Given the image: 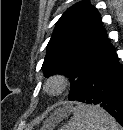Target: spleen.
Here are the masks:
<instances>
[{
	"instance_id": "1",
	"label": "spleen",
	"mask_w": 123,
	"mask_h": 130,
	"mask_svg": "<svg viewBox=\"0 0 123 130\" xmlns=\"http://www.w3.org/2000/svg\"><path fill=\"white\" fill-rule=\"evenodd\" d=\"M61 130H121V126L102 108L78 103L73 116Z\"/></svg>"
}]
</instances>
